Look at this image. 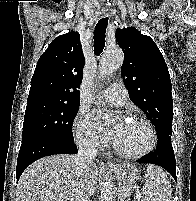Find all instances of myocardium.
<instances>
[{
    "label": "myocardium",
    "instance_id": "1",
    "mask_svg": "<svg viewBox=\"0 0 196 201\" xmlns=\"http://www.w3.org/2000/svg\"><path fill=\"white\" fill-rule=\"evenodd\" d=\"M132 120L138 121L146 126L148 133H149V140H148L146 147L143 150L136 152V153H127V152L121 150L113 142V148H114V151L116 152V154L118 156H120L121 158L129 159V160H137V159L145 157L146 155H148L149 153H151L153 151V149L156 145L157 136H156V132H155V128H154L153 124L147 118L142 117V116H133Z\"/></svg>",
    "mask_w": 196,
    "mask_h": 201
}]
</instances>
